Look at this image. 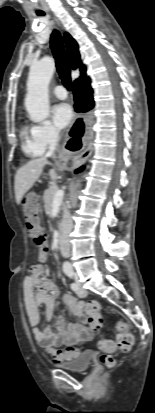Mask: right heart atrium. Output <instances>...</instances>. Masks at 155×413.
Masks as SVG:
<instances>
[{
	"label": "right heart atrium",
	"mask_w": 155,
	"mask_h": 413,
	"mask_svg": "<svg viewBox=\"0 0 155 413\" xmlns=\"http://www.w3.org/2000/svg\"><path fill=\"white\" fill-rule=\"evenodd\" d=\"M30 130L36 147L42 153L57 144L60 138L59 131L48 120L32 125Z\"/></svg>",
	"instance_id": "right-heart-atrium-1"
}]
</instances>
